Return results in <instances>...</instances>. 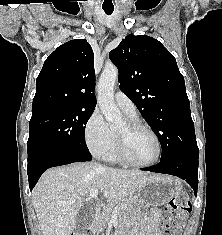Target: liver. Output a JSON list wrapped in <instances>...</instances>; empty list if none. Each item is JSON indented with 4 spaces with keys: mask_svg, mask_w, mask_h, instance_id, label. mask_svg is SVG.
<instances>
[{
    "mask_svg": "<svg viewBox=\"0 0 222 235\" xmlns=\"http://www.w3.org/2000/svg\"><path fill=\"white\" fill-rule=\"evenodd\" d=\"M157 177L96 162L51 168L43 173L32 192L40 229L43 235H71L83 196L97 189L112 201L125 200Z\"/></svg>",
    "mask_w": 222,
    "mask_h": 235,
    "instance_id": "6515ba94",
    "label": "liver"
}]
</instances>
